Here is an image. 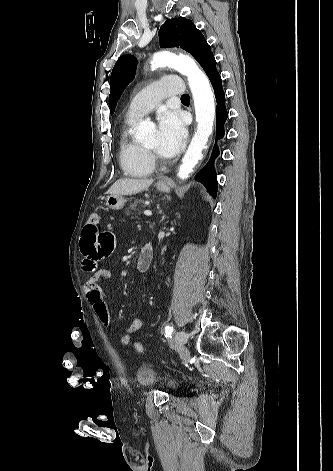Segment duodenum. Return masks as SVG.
Here are the masks:
<instances>
[{"instance_id":"410a0bca","label":"duodenum","mask_w":333,"mask_h":471,"mask_svg":"<svg viewBox=\"0 0 333 471\" xmlns=\"http://www.w3.org/2000/svg\"><path fill=\"white\" fill-rule=\"evenodd\" d=\"M153 260V248L150 244H146L142 250L140 255L138 256L136 260V269L139 272H144L148 270L152 264Z\"/></svg>"}]
</instances>
